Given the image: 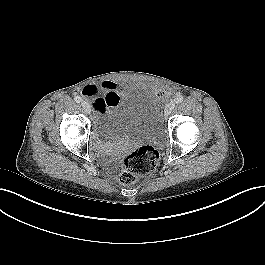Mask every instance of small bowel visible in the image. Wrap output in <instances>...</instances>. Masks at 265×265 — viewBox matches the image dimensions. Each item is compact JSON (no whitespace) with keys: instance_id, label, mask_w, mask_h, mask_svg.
<instances>
[{"instance_id":"1","label":"small bowel","mask_w":265,"mask_h":265,"mask_svg":"<svg viewBox=\"0 0 265 265\" xmlns=\"http://www.w3.org/2000/svg\"><path fill=\"white\" fill-rule=\"evenodd\" d=\"M127 84L117 83L111 80H105L99 85L87 84L82 88V95L85 98H93V107L97 113H105L110 107H113L120 96L123 94ZM158 97L166 99L169 92L160 86H156Z\"/></svg>"}]
</instances>
